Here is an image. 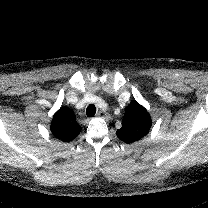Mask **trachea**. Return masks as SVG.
Listing matches in <instances>:
<instances>
[{"instance_id": "obj_1", "label": "trachea", "mask_w": 208, "mask_h": 208, "mask_svg": "<svg viewBox=\"0 0 208 208\" xmlns=\"http://www.w3.org/2000/svg\"><path fill=\"white\" fill-rule=\"evenodd\" d=\"M96 114V107L93 104H90L86 109V115L92 117Z\"/></svg>"}]
</instances>
